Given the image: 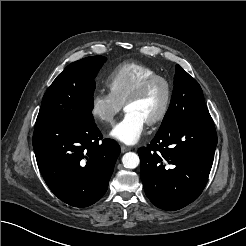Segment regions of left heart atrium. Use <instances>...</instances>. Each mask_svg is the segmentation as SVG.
<instances>
[{"instance_id": "39dd6f15", "label": "left heart atrium", "mask_w": 246, "mask_h": 246, "mask_svg": "<svg viewBox=\"0 0 246 246\" xmlns=\"http://www.w3.org/2000/svg\"><path fill=\"white\" fill-rule=\"evenodd\" d=\"M146 121L135 112H126L122 120L111 130L110 136L122 143L132 145L139 141Z\"/></svg>"}]
</instances>
